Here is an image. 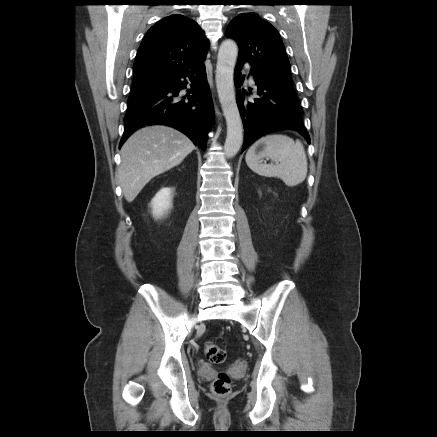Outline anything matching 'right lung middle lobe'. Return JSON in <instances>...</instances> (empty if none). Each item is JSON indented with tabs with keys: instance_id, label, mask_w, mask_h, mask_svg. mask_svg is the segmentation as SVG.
Masks as SVG:
<instances>
[{
	"instance_id": "obj_1",
	"label": "right lung middle lobe",
	"mask_w": 437,
	"mask_h": 437,
	"mask_svg": "<svg viewBox=\"0 0 437 437\" xmlns=\"http://www.w3.org/2000/svg\"><path fill=\"white\" fill-rule=\"evenodd\" d=\"M162 81L163 80L134 82V84L132 86V94H137V93L147 91V90L159 85Z\"/></svg>"
}]
</instances>
